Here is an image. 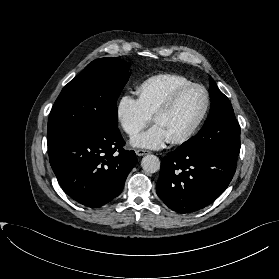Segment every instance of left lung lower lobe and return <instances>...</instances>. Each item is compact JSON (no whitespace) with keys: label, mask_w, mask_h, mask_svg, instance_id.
<instances>
[{"label":"left lung lower lobe","mask_w":279,"mask_h":279,"mask_svg":"<svg viewBox=\"0 0 279 279\" xmlns=\"http://www.w3.org/2000/svg\"><path fill=\"white\" fill-rule=\"evenodd\" d=\"M236 161V155L221 150L185 152L177 148L161 162L157 194L173 211H198L226 190L236 171Z\"/></svg>","instance_id":"1"}]
</instances>
